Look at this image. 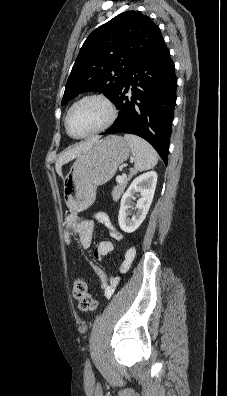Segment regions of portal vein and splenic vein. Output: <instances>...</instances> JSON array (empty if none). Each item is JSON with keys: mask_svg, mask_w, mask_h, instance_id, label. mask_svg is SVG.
I'll list each match as a JSON object with an SVG mask.
<instances>
[{"mask_svg": "<svg viewBox=\"0 0 227 396\" xmlns=\"http://www.w3.org/2000/svg\"><path fill=\"white\" fill-rule=\"evenodd\" d=\"M124 179V175L122 174L121 176H117L116 181L117 182H122Z\"/></svg>", "mask_w": 227, "mask_h": 396, "instance_id": "obj_1", "label": "portal vein and splenic vein"}]
</instances>
